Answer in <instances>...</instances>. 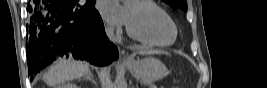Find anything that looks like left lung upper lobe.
<instances>
[{
    "mask_svg": "<svg viewBox=\"0 0 267 88\" xmlns=\"http://www.w3.org/2000/svg\"><path fill=\"white\" fill-rule=\"evenodd\" d=\"M163 1L170 4L173 8H181V9L187 8L185 0H163Z\"/></svg>",
    "mask_w": 267,
    "mask_h": 88,
    "instance_id": "left-lung-upper-lobe-1",
    "label": "left lung upper lobe"
}]
</instances>
